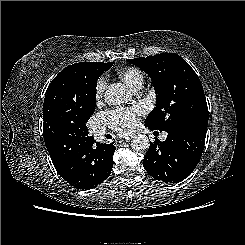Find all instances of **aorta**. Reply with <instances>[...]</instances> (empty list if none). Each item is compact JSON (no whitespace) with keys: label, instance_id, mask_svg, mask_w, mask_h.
<instances>
[{"label":"aorta","instance_id":"aorta-1","mask_svg":"<svg viewBox=\"0 0 245 245\" xmlns=\"http://www.w3.org/2000/svg\"><path fill=\"white\" fill-rule=\"evenodd\" d=\"M129 97L126 87L119 83L110 85L104 93L105 102L109 105H120L126 102ZM149 145L148 137L142 134L136 135L131 141V147L135 151H146Z\"/></svg>","mask_w":245,"mask_h":245}]
</instances>
